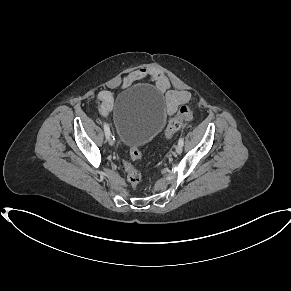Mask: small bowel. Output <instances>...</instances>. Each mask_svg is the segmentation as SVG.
Listing matches in <instances>:
<instances>
[{"label": "small bowel", "instance_id": "c3829d8e", "mask_svg": "<svg viewBox=\"0 0 291 291\" xmlns=\"http://www.w3.org/2000/svg\"><path fill=\"white\" fill-rule=\"evenodd\" d=\"M149 78L151 79L157 90L160 93L165 94L166 98V114H173L177 108L190 100L191 95L187 91H173L169 90L170 82L168 78L154 67L140 68L137 69L123 78L122 87L126 88L131 86L133 83L140 81L142 79ZM97 103L99 106L100 114L107 118L113 107V97L111 93L107 90H103L98 94Z\"/></svg>", "mask_w": 291, "mask_h": 291}]
</instances>
